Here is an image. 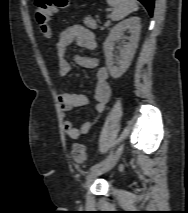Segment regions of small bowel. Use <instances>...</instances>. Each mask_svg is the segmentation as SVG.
Here are the masks:
<instances>
[{
    "mask_svg": "<svg viewBox=\"0 0 188 213\" xmlns=\"http://www.w3.org/2000/svg\"><path fill=\"white\" fill-rule=\"evenodd\" d=\"M73 42H76L79 47L87 50H94L96 48L95 36L84 26L75 24L63 29L56 45L58 71L62 76L67 75L71 70V64L66 58V52L69 45ZM76 62L84 68L95 69V111L100 115L105 111L111 96V87L108 83V71L99 64L98 59L93 57L77 56ZM58 101L64 114L63 126L66 136L70 139L78 140L81 135L88 134L96 119L93 121H86L80 128H77L66 116V113L72 109L87 105V96L81 93L62 92L58 95Z\"/></svg>",
    "mask_w": 188,
    "mask_h": 213,
    "instance_id": "c3829d8e",
    "label": "small bowel"
}]
</instances>
